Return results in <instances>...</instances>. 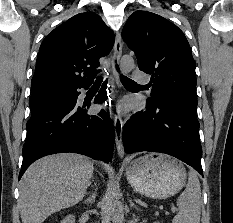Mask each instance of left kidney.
Masks as SVG:
<instances>
[{"mask_svg": "<svg viewBox=\"0 0 233 223\" xmlns=\"http://www.w3.org/2000/svg\"><path fill=\"white\" fill-rule=\"evenodd\" d=\"M154 223H160V221H154Z\"/></svg>", "mask_w": 233, "mask_h": 223, "instance_id": "1", "label": "left kidney"}]
</instances>
